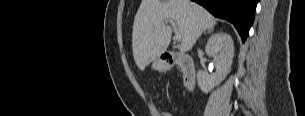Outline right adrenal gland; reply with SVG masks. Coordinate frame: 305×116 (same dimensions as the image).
<instances>
[{"instance_id": "2a0ac1e0", "label": "right adrenal gland", "mask_w": 305, "mask_h": 116, "mask_svg": "<svg viewBox=\"0 0 305 116\" xmlns=\"http://www.w3.org/2000/svg\"><path fill=\"white\" fill-rule=\"evenodd\" d=\"M213 32V28L208 29L207 31L204 32V34L206 33H212Z\"/></svg>"}]
</instances>
